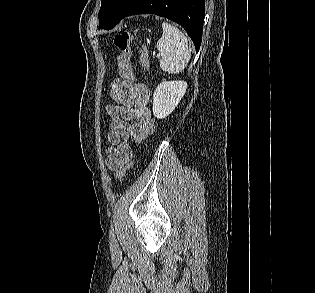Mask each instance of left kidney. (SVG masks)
Segmentation results:
<instances>
[{"mask_svg":"<svg viewBox=\"0 0 315 293\" xmlns=\"http://www.w3.org/2000/svg\"><path fill=\"white\" fill-rule=\"evenodd\" d=\"M188 85L184 81H163L153 94V114L158 119L170 115L184 96Z\"/></svg>","mask_w":315,"mask_h":293,"instance_id":"obj_1","label":"left kidney"}]
</instances>
